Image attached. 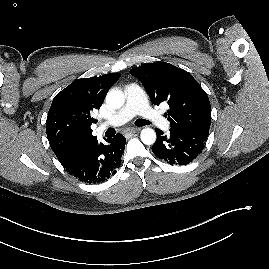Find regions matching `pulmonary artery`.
I'll return each mask as SVG.
<instances>
[{
    "label": "pulmonary artery",
    "mask_w": 269,
    "mask_h": 269,
    "mask_svg": "<svg viewBox=\"0 0 269 269\" xmlns=\"http://www.w3.org/2000/svg\"><path fill=\"white\" fill-rule=\"evenodd\" d=\"M124 92L126 95L125 105L111 119L100 125L101 130L122 125L135 115L142 116L164 130L169 129V121L149 106L145 92L139 85L129 84L125 87Z\"/></svg>",
    "instance_id": "1"
}]
</instances>
